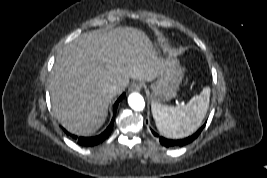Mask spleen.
I'll list each match as a JSON object with an SVG mask.
<instances>
[{
  "instance_id": "obj_1",
  "label": "spleen",
  "mask_w": 267,
  "mask_h": 178,
  "mask_svg": "<svg viewBox=\"0 0 267 178\" xmlns=\"http://www.w3.org/2000/svg\"><path fill=\"white\" fill-rule=\"evenodd\" d=\"M210 101V88L205 87L184 106H167L151 102L152 115L159 132L168 138H183L194 133L201 125Z\"/></svg>"
}]
</instances>
